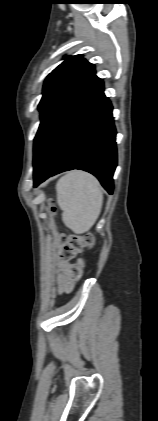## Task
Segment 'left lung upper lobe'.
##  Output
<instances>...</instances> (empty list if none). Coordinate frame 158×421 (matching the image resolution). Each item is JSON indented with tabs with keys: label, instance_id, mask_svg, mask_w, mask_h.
Instances as JSON below:
<instances>
[{
	"label": "left lung upper lobe",
	"instance_id": "5c2ea615",
	"mask_svg": "<svg viewBox=\"0 0 158 421\" xmlns=\"http://www.w3.org/2000/svg\"><path fill=\"white\" fill-rule=\"evenodd\" d=\"M94 75V65L83 59L80 54L67 57L47 76L38 106L41 123L34 140V147L57 113Z\"/></svg>",
	"mask_w": 158,
	"mask_h": 421
}]
</instances>
